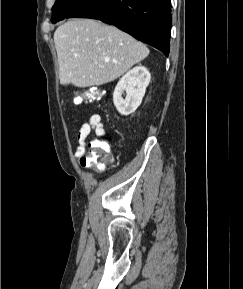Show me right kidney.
<instances>
[{
  "mask_svg": "<svg viewBox=\"0 0 243 289\" xmlns=\"http://www.w3.org/2000/svg\"><path fill=\"white\" fill-rule=\"evenodd\" d=\"M150 79L149 71L141 65L134 67L120 79L113 93V102L121 115L132 114L140 106ZM124 91L125 99L122 97Z\"/></svg>",
  "mask_w": 243,
  "mask_h": 289,
  "instance_id": "1",
  "label": "right kidney"
}]
</instances>
